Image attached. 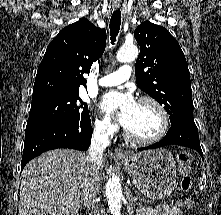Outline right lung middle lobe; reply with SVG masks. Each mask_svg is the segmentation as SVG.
Returning <instances> with one entry per match:
<instances>
[{
	"label": "right lung middle lobe",
	"mask_w": 221,
	"mask_h": 215,
	"mask_svg": "<svg viewBox=\"0 0 221 215\" xmlns=\"http://www.w3.org/2000/svg\"><path fill=\"white\" fill-rule=\"evenodd\" d=\"M89 122L87 104L79 93L55 94L32 101L26 129L53 124L77 128Z\"/></svg>",
	"instance_id": "1"
}]
</instances>
